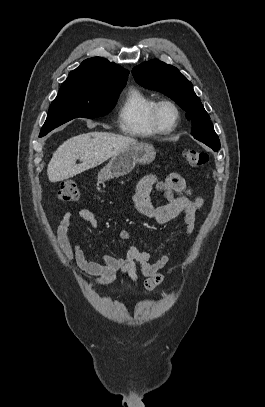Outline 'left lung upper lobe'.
<instances>
[{"label":"left lung upper lobe","instance_id":"5c2ea615","mask_svg":"<svg viewBox=\"0 0 265 407\" xmlns=\"http://www.w3.org/2000/svg\"><path fill=\"white\" fill-rule=\"evenodd\" d=\"M136 82L148 89L162 92L174 100L192 122V136L214 150H219L220 141L192 83L179 70L160 60L144 62L133 68Z\"/></svg>","mask_w":265,"mask_h":407}]
</instances>
